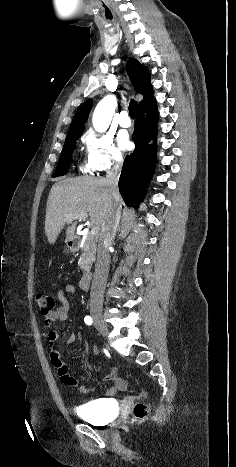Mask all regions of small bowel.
Here are the masks:
<instances>
[{
	"label": "small bowel",
	"mask_w": 236,
	"mask_h": 467,
	"mask_svg": "<svg viewBox=\"0 0 236 467\" xmlns=\"http://www.w3.org/2000/svg\"><path fill=\"white\" fill-rule=\"evenodd\" d=\"M76 287L72 284L66 285L64 290H60L57 292L56 297L60 302V306L55 310L46 315H44V323L46 326H51L54 322H65L68 319V313L71 308V304L69 299L67 298L66 294H75ZM59 337V332L56 330H51L48 335L47 339L50 345V359L53 366L57 369V373L59 378L63 383L66 385L76 386L78 385V379L71 373L70 367L66 364L63 359L61 352L54 347L55 342ZM77 335L76 333H71L67 338V343L72 344L76 341ZM96 352V349L94 350ZM105 381H110L113 384L107 389V395H114L118 391L125 388V382L118 377L117 369L112 367L110 372L104 377ZM93 389L89 386L82 385L80 386V391L84 394L91 392Z\"/></svg>",
	"instance_id": "small-bowel-1"
}]
</instances>
